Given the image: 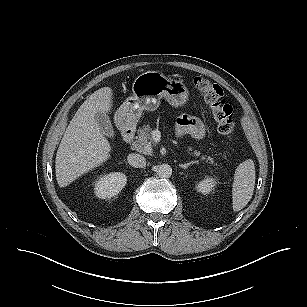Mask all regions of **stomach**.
Listing matches in <instances>:
<instances>
[{
	"label": "stomach",
	"instance_id": "stomach-1",
	"mask_svg": "<svg viewBox=\"0 0 307 307\" xmlns=\"http://www.w3.org/2000/svg\"><path fill=\"white\" fill-rule=\"evenodd\" d=\"M133 96L128 97L116 111L114 119L121 129L133 128L144 110H156L161 99L175 108L184 106L189 98V90L180 80L167 78L158 71L140 74L132 84Z\"/></svg>",
	"mask_w": 307,
	"mask_h": 307
}]
</instances>
